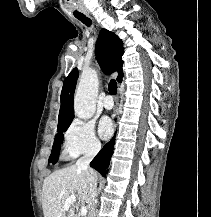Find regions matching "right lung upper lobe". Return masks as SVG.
Wrapping results in <instances>:
<instances>
[{
	"label": "right lung upper lobe",
	"mask_w": 211,
	"mask_h": 217,
	"mask_svg": "<svg viewBox=\"0 0 211 217\" xmlns=\"http://www.w3.org/2000/svg\"><path fill=\"white\" fill-rule=\"evenodd\" d=\"M122 45V40H120L113 32L106 29L100 31L96 43V57L98 63L106 74L117 71L118 82H121L123 77V61L121 57L124 50ZM78 74L77 68H74L63 83L57 129L71 123L74 117L73 100Z\"/></svg>",
	"instance_id": "right-lung-upper-lobe-1"
}]
</instances>
